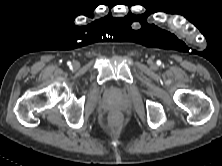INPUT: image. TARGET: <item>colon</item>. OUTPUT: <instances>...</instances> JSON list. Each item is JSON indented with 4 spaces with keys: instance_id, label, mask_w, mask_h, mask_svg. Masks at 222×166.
<instances>
[{
    "instance_id": "5ec220e1",
    "label": "colon",
    "mask_w": 222,
    "mask_h": 166,
    "mask_svg": "<svg viewBox=\"0 0 222 166\" xmlns=\"http://www.w3.org/2000/svg\"><path fill=\"white\" fill-rule=\"evenodd\" d=\"M110 120L113 125H117L120 122V116L118 114H113Z\"/></svg>"
}]
</instances>
